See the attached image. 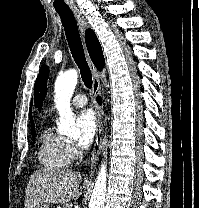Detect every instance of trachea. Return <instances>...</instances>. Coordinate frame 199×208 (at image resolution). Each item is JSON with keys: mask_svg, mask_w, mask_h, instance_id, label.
I'll use <instances>...</instances> for the list:
<instances>
[{"mask_svg": "<svg viewBox=\"0 0 199 208\" xmlns=\"http://www.w3.org/2000/svg\"><path fill=\"white\" fill-rule=\"evenodd\" d=\"M60 15L65 35L75 63L80 69L81 78L87 88H92V74L85 58L84 49L76 19L71 9H56Z\"/></svg>", "mask_w": 199, "mask_h": 208, "instance_id": "trachea-1", "label": "trachea"}]
</instances>
